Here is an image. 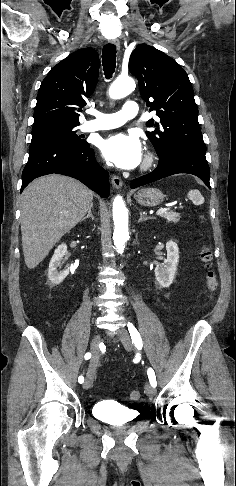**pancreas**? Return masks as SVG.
I'll list each match as a JSON object with an SVG mask.
<instances>
[{
  "label": "pancreas",
  "instance_id": "pancreas-1",
  "mask_svg": "<svg viewBox=\"0 0 236 486\" xmlns=\"http://www.w3.org/2000/svg\"><path fill=\"white\" fill-rule=\"evenodd\" d=\"M161 217L165 218L168 222H172L177 224L180 220V214L176 212H166L161 215Z\"/></svg>",
  "mask_w": 236,
  "mask_h": 486
}]
</instances>
